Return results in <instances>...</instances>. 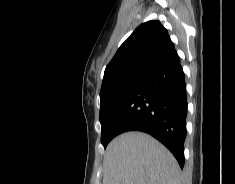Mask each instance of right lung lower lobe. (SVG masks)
I'll list each match as a JSON object with an SVG mask.
<instances>
[{"label":"right lung lower lobe","instance_id":"obj_1","mask_svg":"<svg viewBox=\"0 0 235 184\" xmlns=\"http://www.w3.org/2000/svg\"><path fill=\"white\" fill-rule=\"evenodd\" d=\"M185 76L176 53L151 70L129 95L111 131L146 132L163 143L184 166L186 137Z\"/></svg>","mask_w":235,"mask_h":184}]
</instances>
